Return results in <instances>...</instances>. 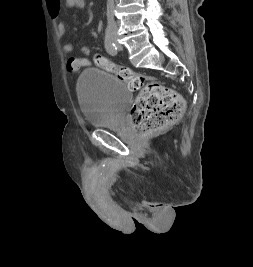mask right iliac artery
Segmentation results:
<instances>
[{"label":"right iliac artery","mask_w":253,"mask_h":267,"mask_svg":"<svg viewBox=\"0 0 253 267\" xmlns=\"http://www.w3.org/2000/svg\"><path fill=\"white\" fill-rule=\"evenodd\" d=\"M105 49L106 51L112 55L115 56L117 54V47L115 43L112 41L111 35L109 32L106 33L105 35Z\"/></svg>","instance_id":"82829eb1"}]
</instances>
